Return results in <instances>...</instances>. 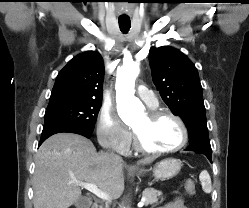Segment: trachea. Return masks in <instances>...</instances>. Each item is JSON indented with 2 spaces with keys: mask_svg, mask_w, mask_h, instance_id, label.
I'll return each instance as SVG.
<instances>
[{
  "mask_svg": "<svg viewBox=\"0 0 249 208\" xmlns=\"http://www.w3.org/2000/svg\"><path fill=\"white\" fill-rule=\"evenodd\" d=\"M119 27L123 33H127L131 27V22L128 19H119Z\"/></svg>",
  "mask_w": 249,
  "mask_h": 208,
  "instance_id": "1",
  "label": "trachea"
}]
</instances>
